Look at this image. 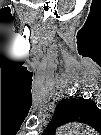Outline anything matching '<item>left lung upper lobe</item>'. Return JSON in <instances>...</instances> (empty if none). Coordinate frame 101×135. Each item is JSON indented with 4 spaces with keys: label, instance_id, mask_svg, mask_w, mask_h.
<instances>
[{
    "label": "left lung upper lobe",
    "instance_id": "obj_1",
    "mask_svg": "<svg viewBox=\"0 0 101 135\" xmlns=\"http://www.w3.org/2000/svg\"><path fill=\"white\" fill-rule=\"evenodd\" d=\"M94 108L95 104L92 101L83 98L62 100L57 105L54 117L61 123L86 122Z\"/></svg>",
    "mask_w": 101,
    "mask_h": 135
}]
</instances>
